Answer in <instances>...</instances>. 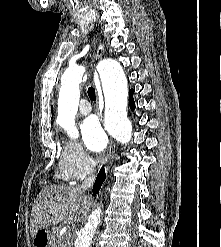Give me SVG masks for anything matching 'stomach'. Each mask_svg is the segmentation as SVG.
I'll return each mask as SVG.
<instances>
[{
  "instance_id": "1",
  "label": "stomach",
  "mask_w": 221,
  "mask_h": 247,
  "mask_svg": "<svg viewBox=\"0 0 221 247\" xmlns=\"http://www.w3.org/2000/svg\"><path fill=\"white\" fill-rule=\"evenodd\" d=\"M53 238V233L49 229H39L33 235V247H51Z\"/></svg>"
}]
</instances>
